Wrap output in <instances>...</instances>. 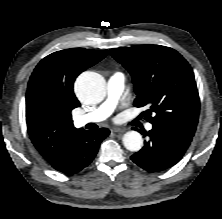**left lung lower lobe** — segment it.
Masks as SVG:
<instances>
[{
  "mask_svg": "<svg viewBox=\"0 0 222 219\" xmlns=\"http://www.w3.org/2000/svg\"><path fill=\"white\" fill-rule=\"evenodd\" d=\"M149 141L131 156L138 166L149 172H158L175 165L189 147L191 135L168 125H153L145 132Z\"/></svg>",
  "mask_w": 222,
  "mask_h": 219,
  "instance_id": "1",
  "label": "left lung lower lobe"
}]
</instances>
